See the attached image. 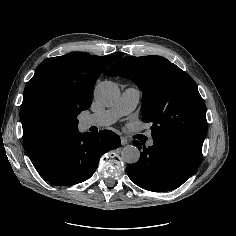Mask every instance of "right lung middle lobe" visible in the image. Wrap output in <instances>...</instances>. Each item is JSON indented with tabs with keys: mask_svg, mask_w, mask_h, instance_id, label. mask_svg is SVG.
<instances>
[{
	"mask_svg": "<svg viewBox=\"0 0 236 236\" xmlns=\"http://www.w3.org/2000/svg\"><path fill=\"white\" fill-rule=\"evenodd\" d=\"M83 111L63 92L37 87L23 101L20 119L27 135L35 141H52L78 131V114Z\"/></svg>",
	"mask_w": 236,
	"mask_h": 236,
	"instance_id": "1",
	"label": "right lung middle lobe"
}]
</instances>
